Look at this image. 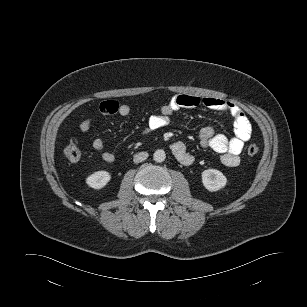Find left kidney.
Wrapping results in <instances>:
<instances>
[{"mask_svg":"<svg viewBox=\"0 0 307 307\" xmlns=\"http://www.w3.org/2000/svg\"><path fill=\"white\" fill-rule=\"evenodd\" d=\"M202 183L207 190L213 192L224 188L227 178L219 170L207 169L202 172Z\"/></svg>","mask_w":307,"mask_h":307,"instance_id":"1","label":"left kidney"}]
</instances>
